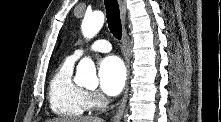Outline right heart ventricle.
Listing matches in <instances>:
<instances>
[{"mask_svg":"<svg viewBox=\"0 0 221 122\" xmlns=\"http://www.w3.org/2000/svg\"><path fill=\"white\" fill-rule=\"evenodd\" d=\"M74 63L71 57L65 59L50 81V107L60 116L79 117L91 108L87 92L73 80Z\"/></svg>","mask_w":221,"mask_h":122,"instance_id":"obj_1","label":"right heart ventricle"}]
</instances>
